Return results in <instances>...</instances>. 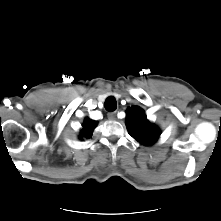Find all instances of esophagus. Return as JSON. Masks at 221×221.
<instances>
[{"label": "esophagus", "instance_id": "1", "mask_svg": "<svg viewBox=\"0 0 221 221\" xmlns=\"http://www.w3.org/2000/svg\"><path fill=\"white\" fill-rule=\"evenodd\" d=\"M108 118L110 120H115L116 119V112H110L108 113Z\"/></svg>", "mask_w": 221, "mask_h": 221}]
</instances>
